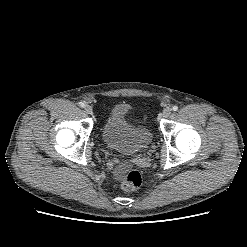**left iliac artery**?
Wrapping results in <instances>:
<instances>
[{
    "instance_id": "left-iliac-artery-1",
    "label": "left iliac artery",
    "mask_w": 247,
    "mask_h": 247,
    "mask_svg": "<svg viewBox=\"0 0 247 247\" xmlns=\"http://www.w3.org/2000/svg\"><path fill=\"white\" fill-rule=\"evenodd\" d=\"M172 110H173V111H177V110H178V106H176V105L173 106V107H172Z\"/></svg>"
}]
</instances>
